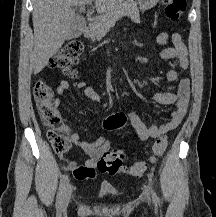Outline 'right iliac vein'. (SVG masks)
I'll list each match as a JSON object with an SVG mask.
<instances>
[{"label":"right iliac vein","mask_w":216,"mask_h":217,"mask_svg":"<svg viewBox=\"0 0 216 217\" xmlns=\"http://www.w3.org/2000/svg\"><path fill=\"white\" fill-rule=\"evenodd\" d=\"M71 194H72V187H71V185H68L64 191V194H63L61 210H66V208L68 207Z\"/></svg>","instance_id":"obj_1"}]
</instances>
